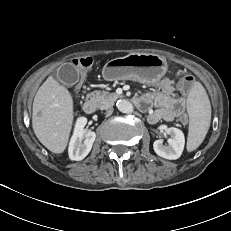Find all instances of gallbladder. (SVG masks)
Returning <instances> with one entry per match:
<instances>
[{
    "mask_svg": "<svg viewBox=\"0 0 231 231\" xmlns=\"http://www.w3.org/2000/svg\"><path fill=\"white\" fill-rule=\"evenodd\" d=\"M78 75L77 69L71 63L61 65L56 73L57 79L65 86L75 85L79 81Z\"/></svg>",
    "mask_w": 231,
    "mask_h": 231,
    "instance_id": "gallbladder-1",
    "label": "gallbladder"
}]
</instances>
